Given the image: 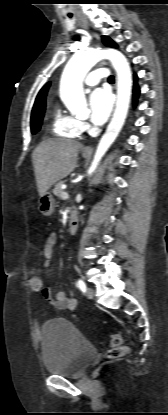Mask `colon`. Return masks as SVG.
Listing matches in <instances>:
<instances>
[{"instance_id":"1","label":"colon","mask_w":168,"mask_h":415,"mask_svg":"<svg viewBox=\"0 0 168 415\" xmlns=\"http://www.w3.org/2000/svg\"><path fill=\"white\" fill-rule=\"evenodd\" d=\"M29 277V288L32 294H39L43 289L41 282V276L37 267H34ZM110 347L107 351V357L109 359H118L127 352V347L122 345V338L119 334H112L110 337Z\"/></svg>"}]
</instances>
